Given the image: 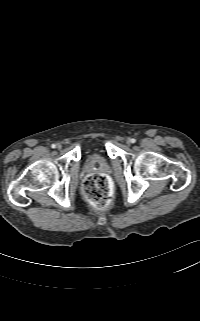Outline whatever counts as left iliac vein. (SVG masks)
<instances>
[{"mask_svg": "<svg viewBox=\"0 0 200 321\" xmlns=\"http://www.w3.org/2000/svg\"><path fill=\"white\" fill-rule=\"evenodd\" d=\"M131 143H132V142H131V139L128 138V139H127V144L130 145Z\"/></svg>", "mask_w": 200, "mask_h": 321, "instance_id": "4c4485c4", "label": "left iliac vein"}]
</instances>
